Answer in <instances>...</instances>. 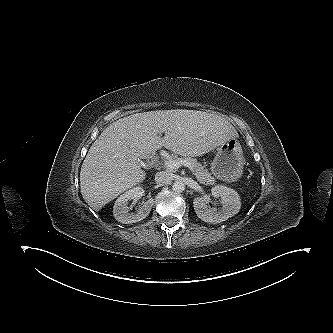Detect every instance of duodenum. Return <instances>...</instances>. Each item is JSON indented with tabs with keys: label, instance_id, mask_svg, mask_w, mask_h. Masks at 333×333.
<instances>
[{
	"label": "duodenum",
	"instance_id": "duodenum-1",
	"mask_svg": "<svg viewBox=\"0 0 333 333\" xmlns=\"http://www.w3.org/2000/svg\"><path fill=\"white\" fill-rule=\"evenodd\" d=\"M154 162H155V158H151V159H149V161H148V166H151L152 164H154Z\"/></svg>",
	"mask_w": 333,
	"mask_h": 333
}]
</instances>
